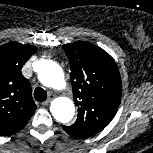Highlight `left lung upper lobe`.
Masks as SVG:
<instances>
[{"instance_id": "5c2ea615", "label": "left lung upper lobe", "mask_w": 153, "mask_h": 153, "mask_svg": "<svg viewBox=\"0 0 153 153\" xmlns=\"http://www.w3.org/2000/svg\"><path fill=\"white\" fill-rule=\"evenodd\" d=\"M78 117L67 134L86 138L103 130L114 118L121 100L122 83L113 58L85 41L64 44Z\"/></svg>"}]
</instances>
